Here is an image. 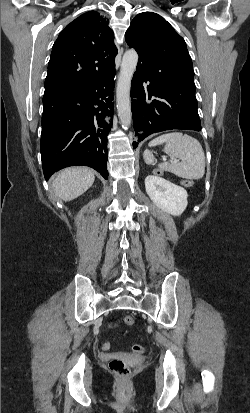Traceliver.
<instances>
[{"label":"liver","mask_w":250,"mask_h":413,"mask_svg":"<svg viewBox=\"0 0 250 413\" xmlns=\"http://www.w3.org/2000/svg\"><path fill=\"white\" fill-rule=\"evenodd\" d=\"M94 172L85 167H69L61 170L53 181L56 196L71 201L86 192L94 183Z\"/></svg>","instance_id":"obj_1"}]
</instances>
